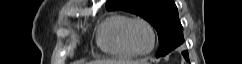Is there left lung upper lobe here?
I'll use <instances>...</instances> for the list:
<instances>
[{"instance_id":"obj_1","label":"left lung upper lobe","mask_w":242,"mask_h":64,"mask_svg":"<svg viewBox=\"0 0 242 64\" xmlns=\"http://www.w3.org/2000/svg\"><path fill=\"white\" fill-rule=\"evenodd\" d=\"M106 8L125 10L150 22L159 37L156 57L165 56L184 42L183 27L173 0H108Z\"/></svg>"}]
</instances>
